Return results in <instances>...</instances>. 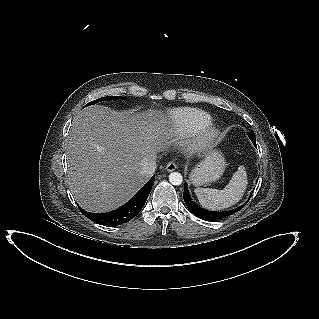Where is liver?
I'll use <instances>...</instances> for the list:
<instances>
[{"label":"liver","instance_id":"obj_1","mask_svg":"<svg viewBox=\"0 0 319 319\" xmlns=\"http://www.w3.org/2000/svg\"><path fill=\"white\" fill-rule=\"evenodd\" d=\"M161 111L118 112L90 106L74 117L65 140L68 184L79 205L104 213L125 204L151 177L141 161L168 141Z\"/></svg>","mask_w":319,"mask_h":319}]
</instances>
